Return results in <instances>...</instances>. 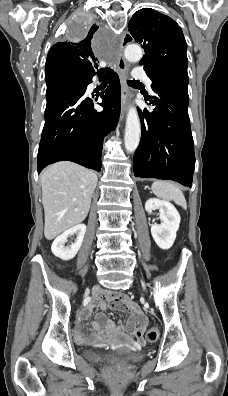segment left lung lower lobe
I'll use <instances>...</instances> for the list:
<instances>
[{"instance_id":"obj_1","label":"left lung lower lobe","mask_w":228,"mask_h":396,"mask_svg":"<svg viewBox=\"0 0 228 396\" xmlns=\"http://www.w3.org/2000/svg\"><path fill=\"white\" fill-rule=\"evenodd\" d=\"M151 88L153 94L147 100L153 111L138 108L142 133L134 154V175L191 187L195 154L188 89L166 81H153Z\"/></svg>"}]
</instances>
